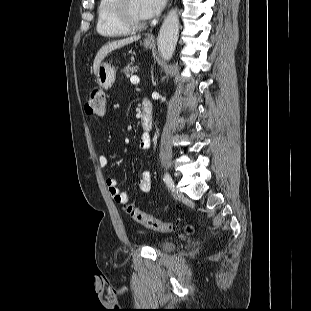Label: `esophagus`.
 I'll use <instances>...</instances> for the list:
<instances>
[{
	"label": "esophagus",
	"mask_w": 311,
	"mask_h": 311,
	"mask_svg": "<svg viewBox=\"0 0 311 311\" xmlns=\"http://www.w3.org/2000/svg\"><path fill=\"white\" fill-rule=\"evenodd\" d=\"M147 41H154V37L153 36H148L147 37Z\"/></svg>",
	"instance_id": "34e87169"
}]
</instances>
